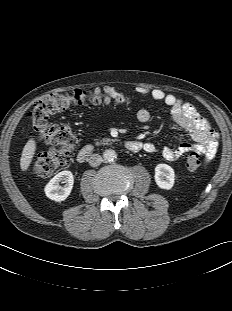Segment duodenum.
I'll list each match as a JSON object with an SVG mask.
<instances>
[{"label":"duodenum","mask_w":232,"mask_h":311,"mask_svg":"<svg viewBox=\"0 0 232 311\" xmlns=\"http://www.w3.org/2000/svg\"><path fill=\"white\" fill-rule=\"evenodd\" d=\"M125 147L131 151V152H139L142 150L143 145L138 141H127L125 143ZM94 153V148L92 145H85L80 149V151L77 154V160L79 162L86 161L92 154Z\"/></svg>","instance_id":"duodenum-1"}]
</instances>
